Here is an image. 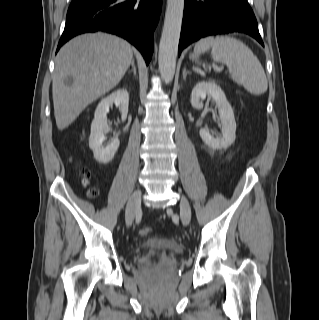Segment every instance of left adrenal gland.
<instances>
[{"label":"left adrenal gland","instance_id":"obj_1","mask_svg":"<svg viewBox=\"0 0 319 320\" xmlns=\"http://www.w3.org/2000/svg\"><path fill=\"white\" fill-rule=\"evenodd\" d=\"M188 73H189V72L186 71V68H184V69H183V79H184V80H185V78H186V76H187Z\"/></svg>","mask_w":319,"mask_h":320}]
</instances>
